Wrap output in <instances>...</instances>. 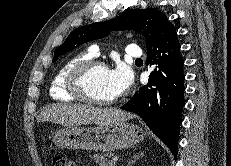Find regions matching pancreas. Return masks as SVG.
Listing matches in <instances>:
<instances>
[{
	"mask_svg": "<svg viewBox=\"0 0 231 166\" xmlns=\"http://www.w3.org/2000/svg\"><path fill=\"white\" fill-rule=\"evenodd\" d=\"M108 157H109L108 154H96L93 156L98 166H115L114 162L107 159Z\"/></svg>",
	"mask_w": 231,
	"mask_h": 166,
	"instance_id": "cf45deb5",
	"label": "pancreas"
}]
</instances>
